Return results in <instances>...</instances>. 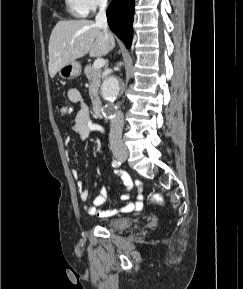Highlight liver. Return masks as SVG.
Here are the masks:
<instances>
[{
    "mask_svg": "<svg viewBox=\"0 0 243 289\" xmlns=\"http://www.w3.org/2000/svg\"><path fill=\"white\" fill-rule=\"evenodd\" d=\"M114 39L106 38L100 28L91 20L59 21L49 39L50 77L53 78L61 67L84 57L106 55L114 47Z\"/></svg>",
    "mask_w": 243,
    "mask_h": 289,
    "instance_id": "6515ba94",
    "label": "liver"
}]
</instances>
